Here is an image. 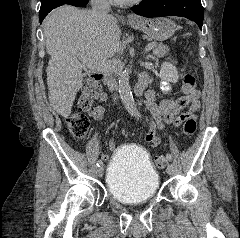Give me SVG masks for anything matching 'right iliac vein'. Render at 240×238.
<instances>
[{"label":"right iliac vein","instance_id":"63e3f726","mask_svg":"<svg viewBox=\"0 0 240 238\" xmlns=\"http://www.w3.org/2000/svg\"><path fill=\"white\" fill-rule=\"evenodd\" d=\"M103 173H104V168L103 166H100L98 169H97V174L99 177H102L103 176Z\"/></svg>","mask_w":240,"mask_h":238}]
</instances>
